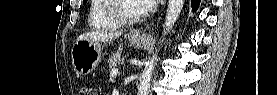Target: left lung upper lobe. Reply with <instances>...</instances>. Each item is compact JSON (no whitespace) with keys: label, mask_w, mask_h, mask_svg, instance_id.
<instances>
[{"label":"left lung upper lobe","mask_w":277,"mask_h":95,"mask_svg":"<svg viewBox=\"0 0 277 95\" xmlns=\"http://www.w3.org/2000/svg\"><path fill=\"white\" fill-rule=\"evenodd\" d=\"M87 2V0H83V4H85Z\"/></svg>","instance_id":"1"}]
</instances>
